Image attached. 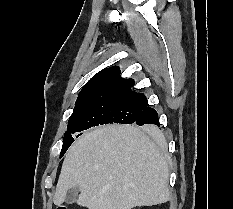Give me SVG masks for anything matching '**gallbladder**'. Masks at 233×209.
I'll use <instances>...</instances> for the list:
<instances>
[{
  "label": "gallbladder",
  "instance_id": "gallbladder-1",
  "mask_svg": "<svg viewBox=\"0 0 233 209\" xmlns=\"http://www.w3.org/2000/svg\"><path fill=\"white\" fill-rule=\"evenodd\" d=\"M78 195V187H74L68 190L66 195V202L72 204L76 201Z\"/></svg>",
  "mask_w": 233,
  "mask_h": 209
}]
</instances>
